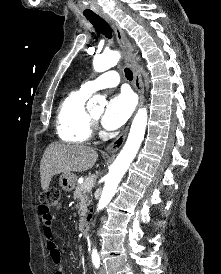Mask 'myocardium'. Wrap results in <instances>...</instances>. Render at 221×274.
<instances>
[{"label":"myocardium","mask_w":221,"mask_h":274,"mask_svg":"<svg viewBox=\"0 0 221 274\" xmlns=\"http://www.w3.org/2000/svg\"><path fill=\"white\" fill-rule=\"evenodd\" d=\"M90 118H91L92 122H96L97 121V118H95L93 115H90Z\"/></svg>","instance_id":"myocardium-1"}]
</instances>
